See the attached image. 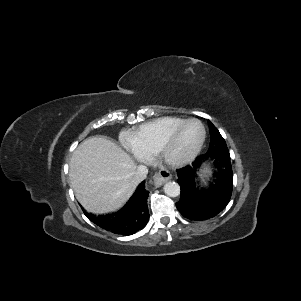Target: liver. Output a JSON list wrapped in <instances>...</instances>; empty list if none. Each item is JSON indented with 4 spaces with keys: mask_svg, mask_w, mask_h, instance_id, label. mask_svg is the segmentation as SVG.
I'll return each mask as SVG.
<instances>
[{
    "mask_svg": "<svg viewBox=\"0 0 301 301\" xmlns=\"http://www.w3.org/2000/svg\"><path fill=\"white\" fill-rule=\"evenodd\" d=\"M69 179L77 200L88 211L103 214L121 208L134 193L132 158L114 142L89 137L73 152Z\"/></svg>",
    "mask_w": 301,
    "mask_h": 301,
    "instance_id": "obj_1",
    "label": "liver"
}]
</instances>
